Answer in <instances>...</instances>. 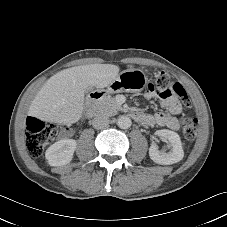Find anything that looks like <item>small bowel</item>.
<instances>
[{"label":"small bowel","mask_w":227,"mask_h":227,"mask_svg":"<svg viewBox=\"0 0 227 227\" xmlns=\"http://www.w3.org/2000/svg\"><path fill=\"white\" fill-rule=\"evenodd\" d=\"M145 97L147 99H153L155 102H160L165 111L155 114L142 113L144 120L141 124L146 126L160 125L171 130H177L179 128V121L176 115L181 113L182 106L179 100L173 96L171 89L157 90L155 83H148L146 85Z\"/></svg>","instance_id":"small-bowel-1"}]
</instances>
